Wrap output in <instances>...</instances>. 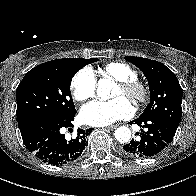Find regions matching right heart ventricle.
<instances>
[{"mask_svg": "<svg viewBox=\"0 0 196 196\" xmlns=\"http://www.w3.org/2000/svg\"><path fill=\"white\" fill-rule=\"evenodd\" d=\"M100 73L103 77L111 78L116 81L137 78V71L129 64L123 62H110L105 64Z\"/></svg>", "mask_w": 196, "mask_h": 196, "instance_id": "1", "label": "right heart ventricle"}]
</instances>
